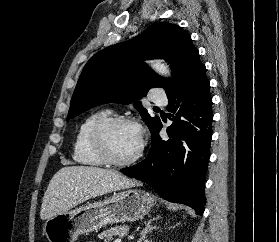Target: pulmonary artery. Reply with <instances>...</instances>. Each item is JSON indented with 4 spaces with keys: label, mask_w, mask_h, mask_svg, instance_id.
Masks as SVG:
<instances>
[{
    "label": "pulmonary artery",
    "mask_w": 279,
    "mask_h": 242,
    "mask_svg": "<svg viewBox=\"0 0 279 242\" xmlns=\"http://www.w3.org/2000/svg\"><path fill=\"white\" fill-rule=\"evenodd\" d=\"M151 101L157 105L164 106L167 103V96L162 90L155 88L153 90Z\"/></svg>",
    "instance_id": "1"
}]
</instances>
